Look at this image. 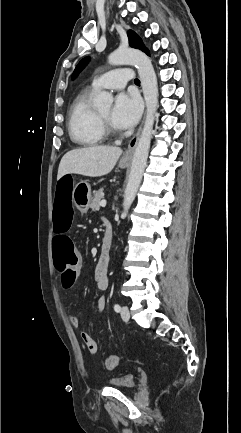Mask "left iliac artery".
<instances>
[{
  "label": "left iliac artery",
  "mask_w": 241,
  "mask_h": 433,
  "mask_svg": "<svg viewBox=\"0 0 241 433\" xmlns=\"http://www.w3.org/2000/svg\"><path fill=\"white\" fill-rule=\"evenodd\" d=\"M120 309H121V307H120L119 304H115V305H114V310H115L116 312H120Z\"/></svg>",
  "instance_id": "1"
}]
</instances>
